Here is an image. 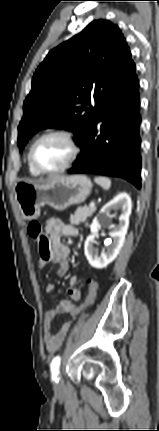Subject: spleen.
Masks as SVG:
<instances>
[{
  "label": "spleen",
  "instance_id": "obj_1",
  "mask_svg": "<svg viewBox=\"0 0 159 431\" xmlns=\"http://www.w3.org/2000/svg\"><path fill=\"white\" fill-rule=\"evenodd\" d=\"M94 181L105 190H108L111 187V180L107 177H95Z\"/></svg>",
  "mask_w": 159,
  "mask_h": 431
}]
</instances>
